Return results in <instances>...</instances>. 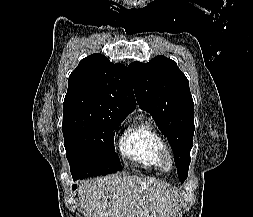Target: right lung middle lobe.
<instances>
[{"mask_svg": "<svg viewBox=\"0 0 253 217\" xmlns=\"http://www.w3.org/2000/svg\"><path fill=\"white\" fill-rule=\"evenodd\" d=\"M122 120L84 112L63 113L64 146L74 180L120 170L113 130Z\"/></svg>", "mask_w": 253, "mask_h": 217, "instance_id": "right-lung-middle-lobe-1", "label": "right lung middle lobe"}]
</instances>
